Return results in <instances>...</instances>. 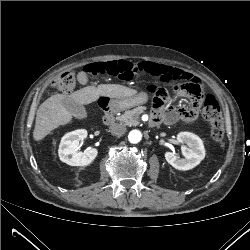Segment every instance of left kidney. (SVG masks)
Segmentation results:
<instances>
[{
	"instance_id": "5707ae66",
	"label": "left kidney",
	"mask_w": 250,
	"mask_h": 250,
	"mask_svg": "<svg viewBox=\"0 0 250 250\" xmlns=\"http://www.w3.org/2000/svg\"><path fill=\"white\" fill-rule=\"evenodd\" d=\"M178 142L183 145L181 147L182 154L185 158L180 159L175 153L166 152V161L175 169L186 171L193 169L205 158V148L203 141L195 134L190 132H180L177 135Z\"/></svg>"
}]
</instances>
